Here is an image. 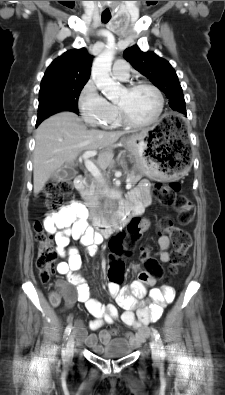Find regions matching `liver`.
<instances>
[{"instance_id": "obj_1", "label": "liver", "mask_w": 225, "mask_h": 395, "mask_svg": "<svg viewBox=\"0 0 225 395\" xmlns=\"http://www.w3.org/2000/svg\"><path fill=\"white\" fill-rule=\"evenodd\" d=\"M125 133L88 130L73 112H61L44 120L37 128L35 136L33 159L35 196L56 171L65 163L73 164L78 155L84 151L102 150L96 162L101 169H106L114 156L113 145Z\"/></svg>"}]
</instances>
